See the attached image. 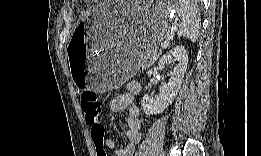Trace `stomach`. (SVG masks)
I'll return each instance as SVG.
<instances>
[{
  "label": "stomach",
  "mask_w": 261,
  "mask_h": 156,
  "mask_svg": "<svg viewBox=\"0 0 261 156\" xmlns=\"http://www.w3.org/2000/svg\"><path fill=\"white\" fill-rule=\"evenodd\" d=\"M170 6L110 1L88 11L77 23L67 49L76 88L102 92L131 78L169 32Z\"/></svg>",
  "instance_id": "stomach-1"
}]
</instances>
